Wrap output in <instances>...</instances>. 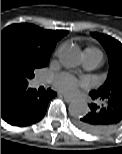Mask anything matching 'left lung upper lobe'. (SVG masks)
<instances>
[{
  "mask_svg": "<svg viewBox=\"0 0 122 154\" xmlns=\"http://www.w3.org/2000/svg\"><path fill=\"white\" fill-rule=\"evenodd\" d=\"M91 36L98 39L105 48L109 57V73L105 83L91 92L103 95H122V44L101 33H91Z\"/></svg>",
  "mask_w": 122,
  "mask_h": 154,
  "instance_id": "1",
  "label": "left lung upper lobe"
}]
</instances>
